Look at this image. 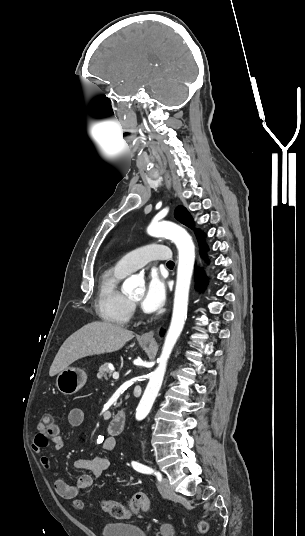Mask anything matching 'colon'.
<instances>
[{
	"label": "colon",
	"instance_id": "5ec220e1",
	"mask_svg": "<svg viewBox=\"0 0 305 536\" xmlns=\"http://www.w3.org/2000/svg\"><path fill=\"white\" fill-rule=\"evenodd\" d=\"M53 416L51 413H45L42 417L43 425L51 426L53 424ZM72 505L77 507L78 511L84 513L87 511L88 506L86 503L81 502L79 498L74 497L71 500ZM102 510L111 515L117 520L128 518L139 512H149L151 510L150 502L143 492H135L128 506L123 505L119 501L113 499H105L101 502ZM196 526L198 530L204 533L207 529V523L201 518L196 519Z\"/></svg>",
	"mask_w": 305,
	"mask_h": 536
}]
</instances>
